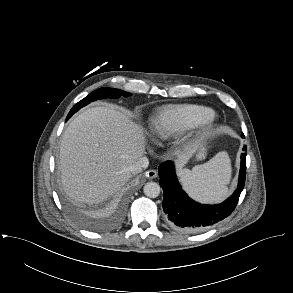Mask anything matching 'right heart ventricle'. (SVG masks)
Listing matches in <instances>:
<instances>
[{
    "label": "right heart ventricle",
    "instance_id": "obj_1",
    "mask_svg": "<svg viewBox=\"0 0 293 293\" xmlns=\"http://www.w3.org/2000/svg\"><path fill=\"white\" fill-rule=\"evenodd\" d=\"M211 116H214V111L202 105H168L152 118L149 131L154 138L170 139L200 125Z\"/></svg>",
    "mask_w": 293,
    "mask_h": 293
}]
</instances>
